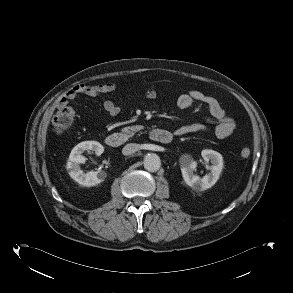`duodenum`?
Segmentation results:
<instances>
[{
    "label": "duodenum",
    "mask_w": 293,
    "mask_h": 293,
    "mask_svg": "<svg viewBox=\"0 0 293 293\" xmlns=\"http://www.w3.org/2000/svg\"><path fill=\"white\" fill-rule=\"evenodd\" d=\"M149 136L153 141L163 144L172 141V134L164 129H153L150 131ZM105 142L108 146L116 148L122 146L126 142V137L120 132H114L105 138Z\"/></svg>",
    "instance_id": "obj_1"
}]
</instances>
